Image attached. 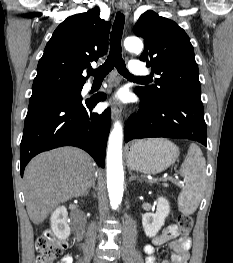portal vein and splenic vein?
Wrapping results in <instances>:
<instances>
[{"mask_svg": "<svg viewBox=\"0 0 233 263\" xmlns=\"http://www.w3.org/2000/svg\"><path fill=\"white\" fill-rule=\"evenodd\" d=\"M165 180L166 178L165 177H162V178H160V179H158V178H156V179H154V181H157V180Z\"/></svg>", "mask_w": 233, "mask_h": 263, "instance_id": "1", "label": "portal vein and splenic vein"}]
</instances>
